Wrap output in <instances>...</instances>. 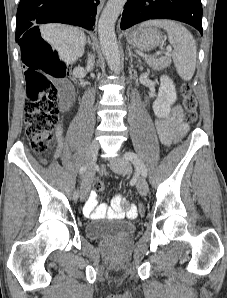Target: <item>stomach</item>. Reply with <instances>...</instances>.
Instances as JSON below:
<instances>
[{
  "instance_id": "1",
  "label": "stomach",
  "mask_w": 227,
  "mask_h": 298,
  "mask_svg": "<svg viewBox=\"0 0 227 298\" xmlns=\"http://www.w3.org/2000/svg\"><path fill=\"white\" fill-rule=\"evenodd\" d=\"M163 40V34L151 25H142L127 36V42L141 51H151L158 47Z\"/></svg>"
}]
</instances>
